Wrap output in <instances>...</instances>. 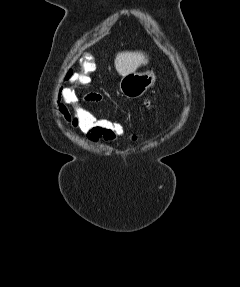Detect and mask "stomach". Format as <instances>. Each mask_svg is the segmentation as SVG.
<instances>
[{"label":"stomach","mask_w":240,"mask_h":287,"mask_svg":"<svg viewBox=\"0 0 240 287\" xmlns=\"http://www.w3.org/2000/svg\"><path fill=\"white\" fill-rule=\"evenodd\" d=\"M155 81L156 75L152 70L144 73L132 72L122 77L119 89L125 97L135 99L141 97Z\"/></svg>","instance_id":"1"}]
</instances>
